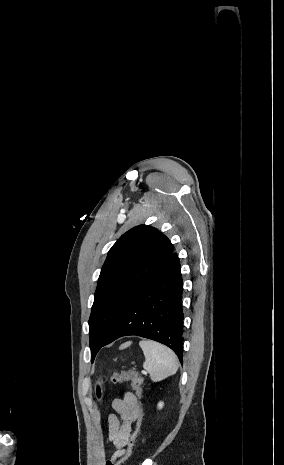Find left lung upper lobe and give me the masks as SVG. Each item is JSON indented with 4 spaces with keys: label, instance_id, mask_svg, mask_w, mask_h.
<instances>
[{
    "label": "left lung upper lobe",
    "instance_id": "5c2ea615",
    "mask_svg": "<svg viewBox=\"0 0 284 465\" xmlns=\"http://www.w3.org/2000/svg\"><path fill=\"white\" fill-rule=\"evenodd\" d=\"M173 250L170 240L148 225L130 229L109 250L89 318L92 362L125 306L165 264Z\"/></svg>",
    "mask_w": 284,
    "mask_h": 465
}]
</instances>
